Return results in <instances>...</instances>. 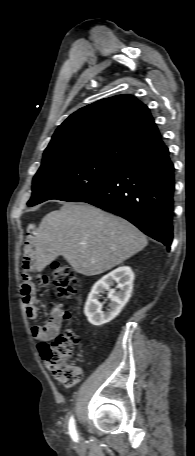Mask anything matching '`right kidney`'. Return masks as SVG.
Instances as JSON below:
<instances>
[{"label": "right kidney", "mask_w": 195, "mask_h": 456, "mask_svg": "<svg viewBox=\"0 0 195 456\" xmlns=\"http://www.w3.org/2000/svg\"><path fill=\"white\" fill-rule=\"evenodd\" d=\"M134 281V272L128 266H121L98 280L92 287L84 307V313L94 326H101L112 321L123 309L131 297ZM117 283L116 288L110 287ZM107 291L110 299L109 309L102 311L103 303L99 302L101 294Z\"/></svg>", "instance_id": "ca27d5eb"}]
</instances>
